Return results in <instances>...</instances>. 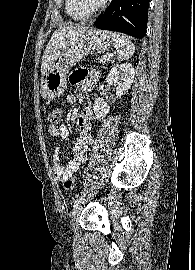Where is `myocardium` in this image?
<instances>
[{"label":"myocardium","mask_w":195,"mask_h":270,"mask_svg":"<svg viewBox=\"0 0 195 270\" xmlns=\"http://www.w3.org/2000/svg\"><path fill=\"white\" fill-rule=\"evenodd\" d=\"M74 1L75 5L80 11L92 15L100 11L109 0H101L98 4L94 6L87 5L84 0H74Z\"/></svg>","instance_id":"1"}]
</instances>
